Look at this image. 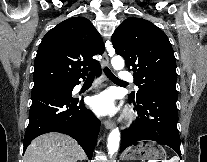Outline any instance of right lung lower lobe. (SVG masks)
Returning a JSON list of instances; mask_svg holds the SVG:
<instances>
[{"instance_id": "98d812e1", "label": "right lung lower lobe", "mask_w": 207, "mask_h": 162, "mask_svg": "<svg viewBox=\"0 0 207 162\" xmlns=\"http://www.w3.org/2000/svg\"><path fill=\"white\" fill-rule=\"evenodd\" d=\"M101 74L97 70V76ZM85 79V77H82ZM79 79L64 83L65 88L53 86L32 91L29 124L24 137V151L39 135L60 132L78 141L89 159L97 142L100 122L85 108L83 100L72 97Z\"/></svg>"}]
</instances>
